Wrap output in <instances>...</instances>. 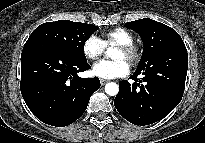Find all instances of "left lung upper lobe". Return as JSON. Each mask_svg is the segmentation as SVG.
<instances>
[{
	"instance_id": "5c2ea615",
	"label": "left lung upper lobe",
	"mask_w": 205,
	"mask_h": 143,
	"mask_svg": "<svg viewBox=\"0 0 205 143\" xmlns=\"http://www.w3.org/2000/svg\"><path fill=\"white\" fill-rule=\"evenodd\" d=\"M125 26L137 32L144 43L143 55L137 70L154 66L158 54L169 45L182 41L174 29L149 18L128 22Z\"/></svg>"
}]
</instances>
